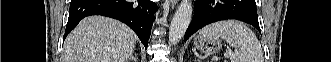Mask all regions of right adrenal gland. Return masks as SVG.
<instances>
[{
	"label": "right adrenal gland",
	"instance_id": "1",
	"mask_svg": "<svg viewBox=\"0 0 331 62\" xmlns=\"http://www.w3.org/2000/svg\"><path fill=\"white\" fill-rule=\"evenodd\" d=\"M128 60H133L134 62H137V58H135V57L133 56V54H131V56H130V58H129Z\"/></svg>",
	"mask_w": 331,
	"mask_h": 62
}]
</instances>
